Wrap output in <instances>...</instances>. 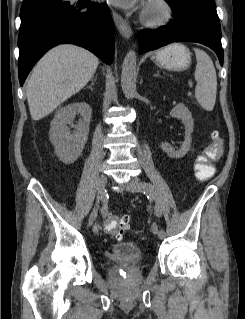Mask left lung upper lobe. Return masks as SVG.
<instances>
[{
	"mask_svg": "<svg viewBox=\"0 0 245 319\" xmlns=\"http://www.w3.org/2000/svg\"><path fill=\"white\" fill-rule=\"evenodd\" d=\"M174 11H182L187 8L197 9L202 12L217 16L214 0H165Z\"/></svg>",
	"mask_w": 245,
	"mask_h": 319,
	"instance_id": "5c2ea615",
	"label": "left lung upper lobe"
}]
</instances>
